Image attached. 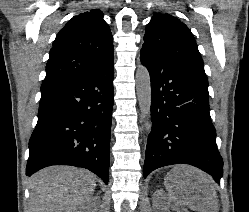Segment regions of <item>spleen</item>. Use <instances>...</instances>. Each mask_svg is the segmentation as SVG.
<instances>
[{
  "label": "spleen",
  "mask_w": 249,
  "mask_h": 212,
  "mask_svg": "<svg viewBox=\"0 0 249 212\" xmlns=\"http://www.w3.org/2000/svg\"><path fill=\"white\" fill-rule=\"evenodd\" d=\"M172 174H174V170H171V172H169V174H167V176H172ZM166 188H167V190H168V192L173 200L174 194H171V190H175L174 184H166Z\"/></svg>",
  "instance_id": "1"
}]
</instances>
